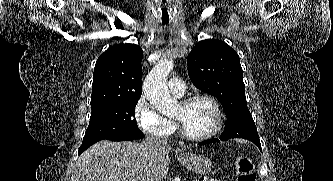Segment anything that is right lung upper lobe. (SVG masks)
I'll use <instances>...</instances> for the list:
<instances>
[{
    "label": "right lung upper lobe",
    "mask_w": 333,
    "mask_h": 181,
    "mask_svg": "<svg viewBox=\"0 0 333 181\" xmlns=\"http://www.w3.org/2000/svg\"><path fill=\"white\" fill-rule=\"evenodd\" d=\"M142 49L135 44L109 47L95 64L91 107L139 99L142 93Z\"/></svg>",
    "instance_id": "obj_1"
}]
</instances>
